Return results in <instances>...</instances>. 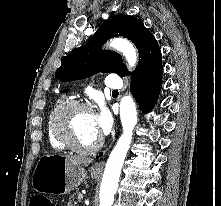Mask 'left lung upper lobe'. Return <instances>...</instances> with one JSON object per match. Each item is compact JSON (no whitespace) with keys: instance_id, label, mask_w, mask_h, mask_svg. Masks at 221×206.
Returning a JSON list of instances; mask_svg holds the SVG:
<instances>
[{"instance_id":"5c2ea615","label":"left lung upper lobe","mask_w":221,"mask_h":206,"mask_svg":"<svg viewBox=\"0 0 221 206\" xmlns=\"http://www.w3.org/2000/svg\"><path fill=\"white\" fill-rule=\"evenodd\" d=\"M115 36L130 39L138 49L140 59L132 73L131 83L162 70L160 48L143 22L133 16L116 15L103 22L87 44L62 57L55 78L67 82L87 78L98 72L129 75L118 53L101 50L105 41Z\"/></svg>"}]
</instances>
